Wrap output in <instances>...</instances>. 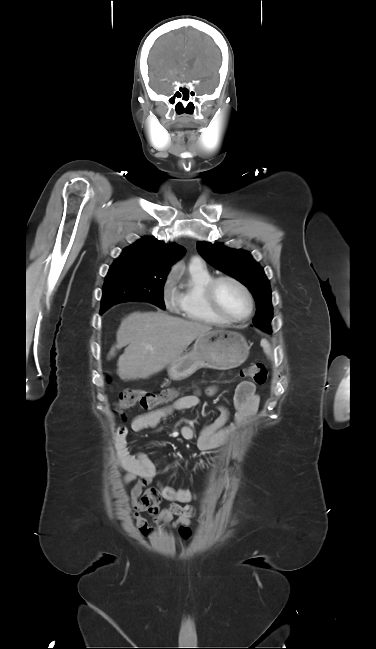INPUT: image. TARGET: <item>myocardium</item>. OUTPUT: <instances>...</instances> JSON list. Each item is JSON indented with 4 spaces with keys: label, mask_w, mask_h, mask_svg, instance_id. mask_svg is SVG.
<instances>
[{
    "label": "myocardium",
    "mask_w": 376,
    "mask_h": 649,
    "mask_svg": "<svg viewBox=\"0 0 376 649\" xmlns=\"http://www.w3.org/2000/svg\"><path fill=\"white\" fill-rule=\"evenodd\" d=\"M224 281H229V282L234 283L245 294V296L247 298V301H248L249 309H248L247 314L244 317H242V318L231 317L223 309V307H222V305H221V303H220V301L218 299L217 289H218L219 284L221 282H224ZM205 293H206L207 301L210 304V306L212 307V309L220 317H222L224 320H226L229 323L245 322L251 317V315L253 313L254 299H253L251 291L249 290V288L241 280H239L238 278H236V277H234L232 275H220V276H217V277H213L211 279V281L207 284Z\"/></svg>",
    "instance_id": "myocardium-1"
}]
</instances>
